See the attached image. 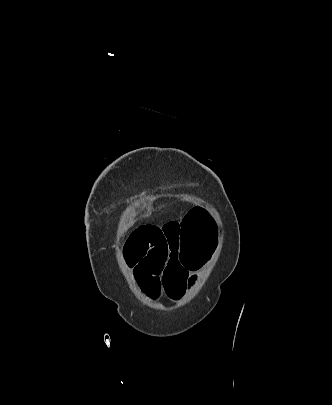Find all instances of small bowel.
I'll return each mask as SVG.
<instances>
[{
    "instance_id": "obj_1",
    "label": "small bowel",
    "mask_w": 332,
    "mask_h": 405,
    "mask_svg": "<svg viewBox=\"0 0 332 405\" xmlns=\"http://www.w3.org/2000/svg\"><path fill=\"white\" fill-rule=\"evenodd\" d=\"M179 241L178 221L139 226L125 241L122 258L146 302H157L166 295L179 300L196 280L199 268H186L185 262L178 261Z\"/></svg>"
}]
</instances>
